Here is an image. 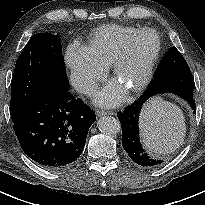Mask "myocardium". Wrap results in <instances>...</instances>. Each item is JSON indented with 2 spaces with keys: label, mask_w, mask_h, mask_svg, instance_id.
Segmentation results:
<instances>
[{
  "label": "myocardium",
  "mask_w": 205,
  "mask_h": 205,
  "mask_svg": "<svg viewBox=\"0 0 205 205\" xmlns=\"http://www.w3.org/2000/svg\"><path fill=\"white\" fill-rule=\"evenodd\" d=\"M145 33H152L154 34L157 44H156V48L154 50V52L152 53V55L148 58L147 62L144 64L143 67V73L141 78L133 85L129 86L127 88L128 91L130 92H138L143 90L148 83L151 80L152 74H153V70L155 67V64L159 58L160 52H161V39L160 36L158 35V33L156 32V30L152 29V28H143L140 29L138 31H136L133 35H131L123 49L121 50V52L115 57L113 63H112V72H113V76L114 78H117L118 75L120 74L121 68L123 66V64L131 57L132 55V48H133V44L134 42L143 34Z\"/></svg>",
  "instance_id": "1"
}]
</instances>
